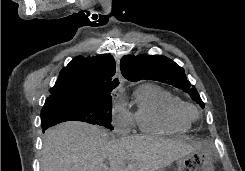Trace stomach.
Wrapping results in <instances>:
<instances>
[{
    "mask_svg": "<svg viewBox=\"0 0 245 171\" xmlns=\"http://www.w3.org/2000/svg\"><path fill=\"white\" fill-rule=\"evenodd\" d=\"M177 171H214L212 153L207 149H197L177 160Z\"/></svg>",
    "mask_w": 245,
    "mask_h": 171,
    "instance_id": "1",
    "label": "stomach"
}]
</instances>
